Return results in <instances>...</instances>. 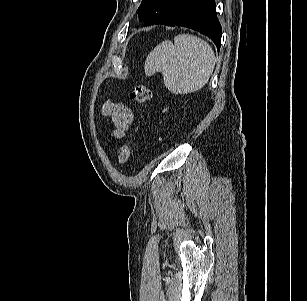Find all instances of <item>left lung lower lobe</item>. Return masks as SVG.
I'll return each instance as SVG.
<instances>
[{
    "label": "left lung lower lobe",
    "mask_w": 307,
    "mask_h": 301,
    "mask_svg": "<svg viewBox=\"0 0 307 301\" xmlns=\"http://www.w3.org/2000/svg\"><path fill=\"white\" fill-rule=\"evenodd\" d=\"M154 24L183 26L199 31L221 46V25L216 16L214 0H179L175 6Z\"/></svg>",
    "instance_id": "0a47b994"
}]
</instances>
